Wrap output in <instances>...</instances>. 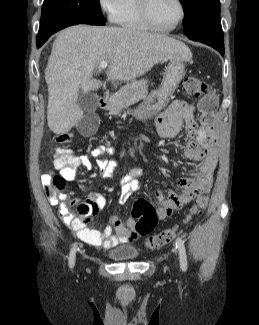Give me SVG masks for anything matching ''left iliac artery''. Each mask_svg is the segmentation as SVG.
<instances>
[{
  "label": "left iliac artery",
  "instance_id": "left-iliac-artery-1",
  "mask_svg": "<svg viewBox=\"0 0 259 325\" xmlns=\"http://www.w3.org/2000/svg\"><path fill=\"white\" fill-rule=\"evenodd\" d=\"M176 245L179 251L180 266L183 271L187 270V256L184 246V241L181 238H177Z\"/></svg>",
  "mask_w": 259,
  "mask_h": 325
}]
</instances>
